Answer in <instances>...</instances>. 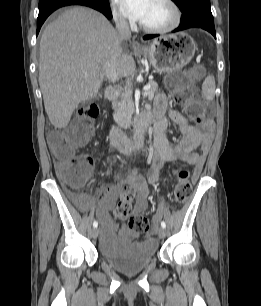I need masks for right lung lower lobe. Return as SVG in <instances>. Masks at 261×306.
Returning a JSON list of instances; mask_svg holds the SVG:
<instances>
[{
	"mask_svg": "<svg viewBox=\"0 0 261 306\" xmlns=\"http://www.w3.org/2000/svg\"><path fill=\"white\" fill-rule=\"evenodd\" d=\"M84 5L102 12L108 19L112 18L109 3L97 0H39V15L37 18V34L47 17L60 7L67 5Z\"/></svg>",
	"mask_w": 261,
	"mask_h": 306,
	"instance_id": "98d812e1",
	"label": "right lung lower lobe"
}]
</instances>
